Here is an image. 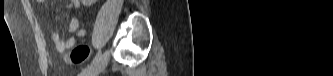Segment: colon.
I'll use <instances>...</instances> for the list:
<instances>
[{
  "mask_svg": "<svg viewBox=\"0 0 333 76\" xmlns=\"http://www.w3.org/2000/svg\"><path fill=\"white\" fill-rule=\"evenodd\" d=\"M90 56V48L87 45H79L64 56V61L69 64H81Z\"/></svg>",
  "mask_w": 333,
  "mask_h": 76,
  "instance_id": "colon-1",
  "label": "colon"
}]
</instances>
